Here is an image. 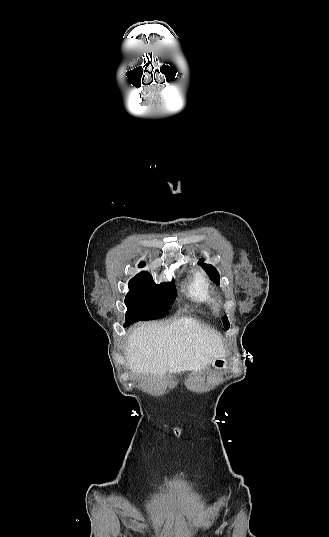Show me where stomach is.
Wrapping results in <instances>:
<instances>
[{
	"mask_svg": "<svg viewBox=\"0 0 329 537\" xmlns=\"http://www.w3.org/2000/svg\"><path fill=\"white\" fill-rule=\"evenodd\" d=\"M210 366L214 369H219V370H223L224 368L227 367V360L225 359V357H221V358H218V359H215L211 364Z\"/></svg>",
	"mask_w": 329,
	"mask_h": 537,
	"instance_id": "1",
	"label": "stomach"
}]
</instances>
